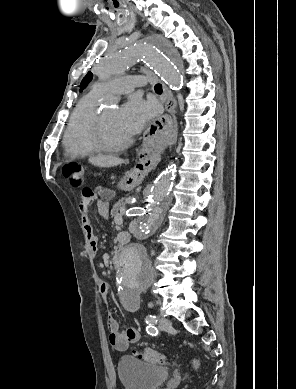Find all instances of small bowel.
Returning a JSON list of instances; mask_svg holds the SVG:
<instances>
[{"label": "small bowel", "mask_w": 296, "mask_h": 389, "mask_svg": "<svg viewBox=\"0 0 296 389\" xmlns=\"http://www.w3.org/2000/svg\"><path fill=\"white\" fill-rule=\"evenodd\" d=\"M112 196L113 192L109 189H99L97 195L90 189H84L80 197L79 209L81 212V222L87 233L90 247L94 252L97 250V238L93 233L91 219L87 210L89 206L96 201L98 212L101 215H107L108 200L111 199ZM121 237L126 236L121 235ZM100 293L104 299L107 298L109 293L108 283L104 281L100 283ZM107 326L109 330V342L117 351H125L131 343H135L139 340V332L136 328L127 327L121 329L118 321L111 314L107 317Z\"/></svg>", "instance_id": "small-bowel-1"}]
</instances>
